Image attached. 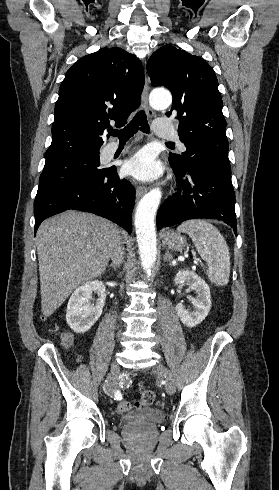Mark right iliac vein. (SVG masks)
I'll return each mask as SVG.
<instances>
[{"label":"right iliac vein","instance_id":"obj_1","mask_svg":"<svg viewBox=\"0 0 279 490\" xmlns=\"http://www.w3.org/2000/svg\"><path fill=\"white\" fill-rule=\"evenodd\" d=\"M118 370H119V365L117 364V362H113L111 364L110 377H109L110 380L117 374Z\"/></svg>","mask_w":279,"mask_h":490}]
</instances>
